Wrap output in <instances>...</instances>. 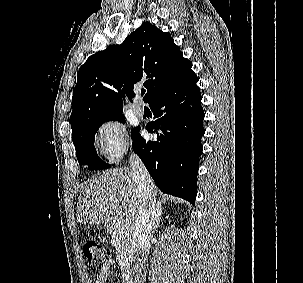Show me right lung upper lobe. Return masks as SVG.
Masks as SVG:
<instances>
[{
    "mask_svg": "<svg viewBox=\"0 0 303 283\" xmlns=\"http://www.w3.org/2000/svg\"><path fill=\"white\" fill-rule=\"evenodd\" d=\"M191 67L168 32L143 22L121 45L91 55L80 67L72 98V133L87 122L123 116L122 97L132 99L136 83L144 82L143 100L149 103L189 77Z\"/></svg>",
    "mask_w": 303,
    "mask_h": 283,
    "instance_id": "right-lung-upper-lobe-1",
    "label": "right lung upper lobe"
}]
</instances>
